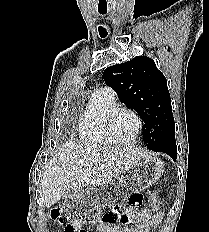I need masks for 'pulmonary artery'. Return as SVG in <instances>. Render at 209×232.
Listing matches in <instances>:
<instances>
[{"label": "pulmonary artery", "instance_id": "pulmonary-artery-1", "mask_svg": "<svg viewBox=\"0 0 209 232\" xmlns=\"http://www.w3.org/2000/svg\"><path fill=\"white\" fill-rule=\"evenodd\" d=\"M105 89L107 90V92H108L112 97L115 98V92H114L112 89H110V88H105Z\"/></svg>", "mask_w": 209, "mask_h": 232}]
</instances>
